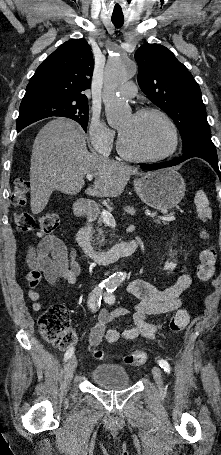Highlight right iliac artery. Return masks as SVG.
<instances>
[{"mask_svg": "<svg viewBox=\"0 0 221 455\" xmlns=\"http://www.w3.org/2000/svg\"><path fill=\"white\" fill-rule=\"evenodd\" d=\"M108 287L109 285L101 283L98 286H96L90 293L88 297V306L92 312H96L98 306L100 307L103 291L105 288L107 289ZM73 353L74 348L72 347L66 351L64 355V360L67 361L69 358H71Z\"/></svg>", "mask_w": 221, "mask_h": 455, "instance_id": "1", "label": "right iliac artery"}]
</instances>
